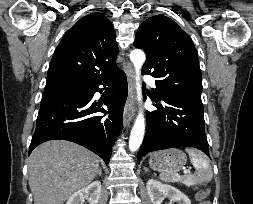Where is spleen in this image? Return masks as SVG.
<instances>
[{
  "label": "spleen",
  "instance_id": "obj_1",
  "mask_svg": "<svg viewBox=\"0 0 253 204\" xmlns=\"http://www.w3.org/2000/svg\"><path fill=\"white\" fill-rule=\"evenodd\" d=\"M186 152L188 153L191 163L196 169V172L194 174L185 176H180L177 173H161L160 179L165 182L180 181L186 186H192L195 184H202L204 182L211 181L213 177V171L208 157L196 149L187 148Z\"/></svg>",
  "mask_w": 253,
  "mask_h": 204
}]
</instances>
